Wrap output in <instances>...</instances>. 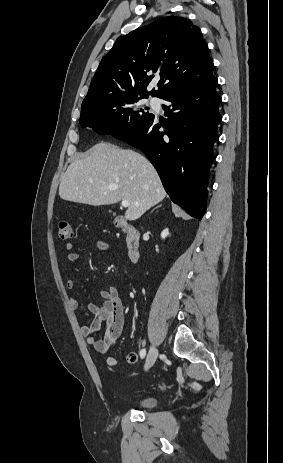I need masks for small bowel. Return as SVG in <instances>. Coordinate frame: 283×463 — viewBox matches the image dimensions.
Wrapping results in <instances>:
<instances>
[{
    "label": "small bowel",
    "mask_w": 283,
    "mask_h": 463,
    "mask_svg": "<svg viewBox=\"0 0 283 463\" xmlns=\"http://www.w3.org/2000/svg\"><path fill=\"white\" fill-rule=\"evenodd\" d=\"M96 246L99 250L104 252L110 249L109 244L100 239L96 241ZM66 251L67 260L69 262L73 263L78 260V254L74 251L73 244L68 243L66 245ZM66 286L69 290H73L76 287L75 279H68ZM101 296L103 299L101 304H86V309L93 314V318L90 322L81 326V332L86 342L92 346L97 353L106 355L122 333L125 324V315L120 294L116 288H105L101 292ZM69 303L73 310L76 311L79 308V301L76 297L71 296L69 298ZM102 324L105 325V334L102 339H99L96 336V332L100 329ZM118 363L119 361L116 357L110 356L106 359V364L109 367H115Z\"/></svg>",
    "instance_id": "small-bowel-1"
}]
</instances>
